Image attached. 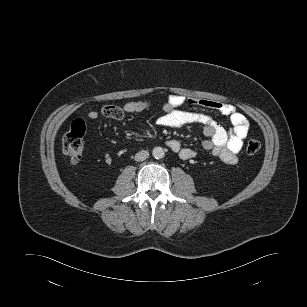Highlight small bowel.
Here are the masks:
<instances>
[{
    "instance_id": "c3829d8e",
    "label": "small bowel",
    "mask_w": 307,
    "mask_h": 307,
    "mask_svg": "<svg viewBox=\"0 0 307 307\" xmlns=\"http://www.w3.org/2000/svg\"><path fill=\"white\" fill-rule=\"evenodd\" d=\"M186 99L180 95H171L163 106L164 114L157 119V124L165 127H182L190 124H201L204 134L207 137L202 142L203 150L220 158L226 164H235L238 160L237 154L243 146V141L249 132L247 118L237 111L232 104L210 100V99H189L188 101L206 109L217 111L229 117L232 128L226 130L209 114L198 111L181 110L180 107ZM148 101H131L122 106L105 105L101 111L91 110L87 117L89 120H97L100 115L107 118L120 120L128 113H139L149 108ZM167 146L178 153L183 160H189L196 156L193 148L182 147L176 139H169Z\"/></svg>"
}]
</instances>
